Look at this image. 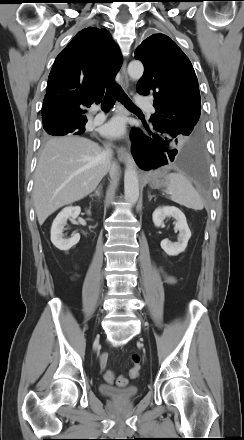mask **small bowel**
Wrapping results in <instances>:
<instances>
[{
    "label": "small bowel",
    "instance_id": "1",
    "mask_svg": "<svg viewBox=\"0 0 244 440\" xmlns=\"http://www.w3.org/2000/svg\"><path fill=\"white\" fill-rule=\"evenodd\" d=\"M164 278H165L166 282H168V283H174L175 282V279L172 276L164 274ZM107 357L108 356H107L106 353H103L101 355V357H100V367H101V369H105L106 363H107Z\"/></svg>",
    "mask_w": 244,
    "mask_h": 440
}]
</instances>
